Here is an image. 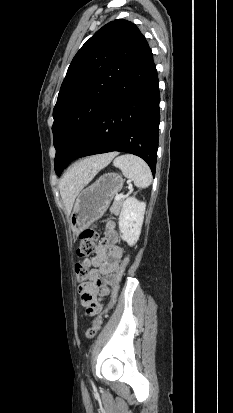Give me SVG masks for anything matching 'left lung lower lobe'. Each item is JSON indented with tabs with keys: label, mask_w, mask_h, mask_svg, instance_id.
<instances>
[{
	"label": "left lung lower lobe",
	"mask_w": 233,
	"mask_h": 413,
	"mask_svg": "<svg viewBox=\"0 0 233 413\" xmlns=\"http://www.w3.org/2000/svg\"><path fill=\"white\" fill-rule=\"evenodd\" d=\"M159 102L156 66L145 39L73 159L111 151L127 152L144 159L154 176Z\"/></svg>",
	"instance_id": "0a47b994"
}]
</instances>
